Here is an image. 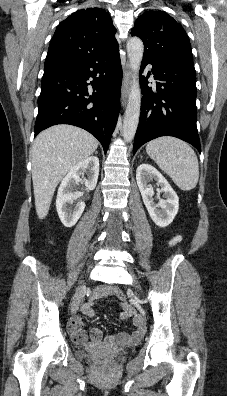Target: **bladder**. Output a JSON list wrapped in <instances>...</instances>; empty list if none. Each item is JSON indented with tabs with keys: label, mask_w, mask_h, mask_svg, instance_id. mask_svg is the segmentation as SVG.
Listing matches in <instances>:
<instances>
[{
	"label": "bladder",
	"mask_w": 227,
	"mask_h": 396,
	"mask_svg": "<svg viewBox=\"0 0 227 396\" xmlns=\"http://www.w3.org/2000/svg\"><path fill=\"white\" fill-rule=\"evenodd\" d=\"M77 356L80 359H88L89 358V355L83 351H77Z\"/></svg>",
	"instance_id": "31cf9c89"
}]
</instances>
